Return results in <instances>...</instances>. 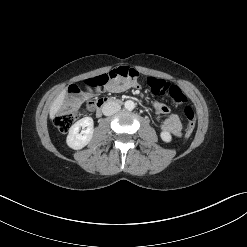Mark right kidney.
<instances>
[{"mask_svg":"<svg viewBox=\"0 0 247 247\" xmlns=\"http://www.w3.org/2000/svg\"><path fill=\"white\" fill-rule=\"evenodd\" d=\"M93 133V119L91 117H84L71 126L66 143L74 150L82 149L91 141Z\"/></svg>","mask_w":247,"mask_h":247,"instance_id":"obj_1","label":"right kidney"}]
</instances>
